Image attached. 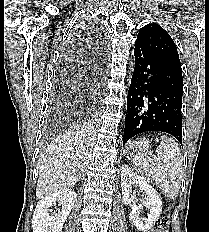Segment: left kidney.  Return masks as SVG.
Listing matches in <instances>:
<instances>
[{"label":"left kidney","mask_w":209,"mask_h":232,"mask_svg":"<svg viewBox=\"0 0 209 232\" xmlns=\"http://www.w3.org/2000/svg\"><path fill=\"white\" fill-rule=\"evenodd\" d=\"M134 184L144 191L145 198L142 203L149 209L147 218L139 216L140 207L136 205V196L132 191V185ZM121 189L124 204L132 206L129 216L130 221L141 232H147L159 218L162 211V201L157 191L146 179L134 173L128 165H123L121 168Z\"/></svg>","instance_id":"left-kidney-1"}]
</instances>
